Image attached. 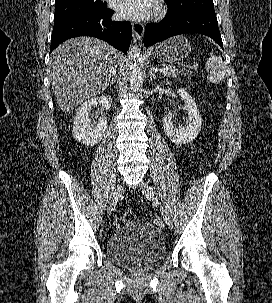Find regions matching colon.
Segmentation results:
<instances>
[{
    "mask_svg": "<svg viewBox=\"0 0 272 303\" xmlns=\"http://www.w3.org/2000/svg\"><path fill=\"white\" fill-rule=\"evenodd\" d=\"M178 74L180 76H190L191 75V72L189 70H180L178 71ZM123 220L125 222H132L135 220V214L132 210L130 209H127L124 211L123 213Z\"/></svg>",
    "mask_w": 272,
    "mask_h": 303,
    "instance_id": "obj_1",
    "label": "colon"
}]
</instances>
